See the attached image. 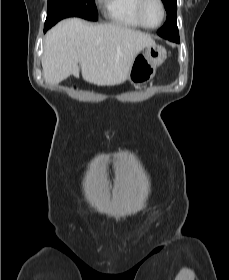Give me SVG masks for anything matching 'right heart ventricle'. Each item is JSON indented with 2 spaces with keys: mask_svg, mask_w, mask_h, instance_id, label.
I'll list each match as a JSON object with an SVG mask.
<instances>
[{
  "mask_svg": "<svg viewBox=\"0 0 229 280\" xmlns=\"http://www.w3.org/2000/svg\"><path fill=\"white\" fill-rule=\"evenodd\" d=\"M107 20L117 26L140 29L144 28L137 16L136 8L139 0H103Z\"/></svg>",
  "mask_w": 229,
  "mask_h": 280,
  "instance_id": "obj_1",
  "label": "right heart ventricle"
}]
</instances>
